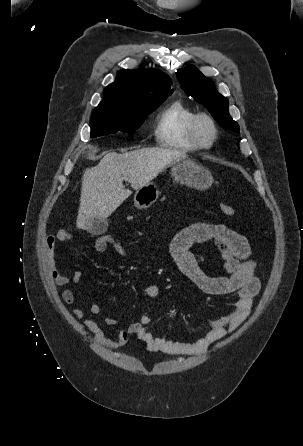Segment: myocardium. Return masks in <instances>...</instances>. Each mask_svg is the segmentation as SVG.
<instances>
[{"label":"myocardium","instance_id":"f54148a6","mask_svg":"<svg viewBox=\"0 0 303 446\" xmlns=\"http://www.w3.org/2000/svg\"><path fill=\"white\" fill-rule=\"evenodd\" d=\"M201 122H206L211 128L212 137L209 142H204L199 135L198 129ZM188 132L193 143L200 149L211 148L216 143L219 134L217 124L213 117L204 112L194 114L189 123Z\"/></svg>","mask_w":303,"mask_h":446}]
</instances>
